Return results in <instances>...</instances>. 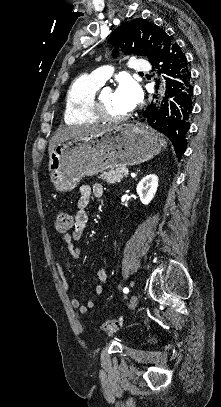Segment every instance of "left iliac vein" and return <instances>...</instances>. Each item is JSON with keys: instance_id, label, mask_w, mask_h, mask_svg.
Returning a JSON list of instances; mask_svg holds the SVG:
<instances>
[{"instance_id": "left-iliac-vein-1", "label": "left iliac vein", "mask_w": 221, "mask_h": 407, "mask_svg": "<svg viewBox=\"0 0 221 407\" xmlns=\"http://www.w3.org/2000/svg\"><path fill=\"white\" fill-rule=\"evenodd\" d=\"M137 301H138L137 295L134 294L132 296V298H131V301H130V308L131 309H134L136 307Z\"/></svg>"}]
</instances>
